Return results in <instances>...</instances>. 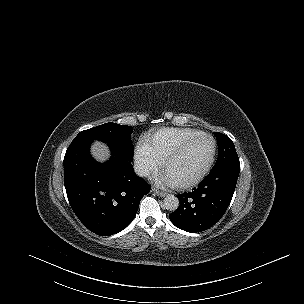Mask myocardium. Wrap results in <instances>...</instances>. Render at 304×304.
Listing matches in <instances>:
<instances>
[{
  "mask_svg": "<svg viewBox=\"0 0 304 304\" xmlns=\"http://www.w3.org/2000/svg\"><path fill=\"white\" fill-rule=\"evenodd\" d=\"M201 138H209L212 141L213 148H212V153L211 156L204 166V168L200 171L198 175H196L193 179L185 181V182H178L175 183V187L180 188V189H185V188H190L192 186L197 185L202 179L207 175L209 170L212 167V164L214 162L215 156H216V150H217V144L216 140L214 137L210 134L207 133H200L199 135L187 140L186 142L182 143L180 146H178L175 150H173L166 158L164 162V171L167 173L168 167L170 163L178 157L180 154H182L190 145H192L194 142L198 141Z\"/></svg>",
  "mask_w": 304,
  "mask_h": 304,
  "instance_id": "myocardium-1",
  "label": "myocardium"
}]
</instances>
